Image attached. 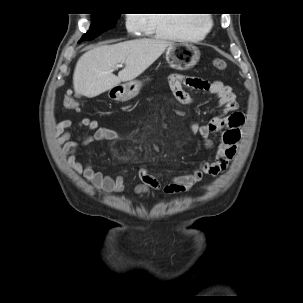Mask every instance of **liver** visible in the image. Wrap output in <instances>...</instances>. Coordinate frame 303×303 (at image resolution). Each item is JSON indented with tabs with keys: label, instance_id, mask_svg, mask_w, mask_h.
Wrapping results in <instances>:
<instances>
[{
	"label": "liver",
	"instance_id": "6515ba94",
	"mask_svg": "<svg viewBox=\"0 0 303 303\" xmlns=\"http://www.w3.org/2000/svg\"><path fill=\"white\" fill-rule=\"evenodd\" d=\"M172 43L164 39L142 38L94 47L76 64L73 75L76 95L93 98L121 82L135 79ZM118 63L125 64V67L116 76L112 71Z\"/></svg>",
	"mask_w": 303,
	"mask_h": 303
}]
</instances>
